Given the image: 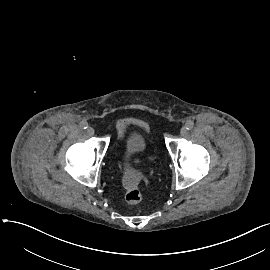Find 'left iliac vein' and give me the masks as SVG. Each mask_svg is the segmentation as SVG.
<instances>
[{
  "instance_id": "obj_1",
  "label": "left iliac vein",
  "mask_w": 270,
  "mask_h": 270,
  "mask_svg": "<svg viewBox=\"0 0 270 270\" xmlns=\"http://www.w3.org/2000/svg\"><path fill=\"white\" fill-rule=\"evenodd\" d=\"M180 134L181 136H185L187 134V128L185 126L181 127Z\"/></svg>"
}]
</instances>
